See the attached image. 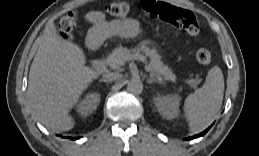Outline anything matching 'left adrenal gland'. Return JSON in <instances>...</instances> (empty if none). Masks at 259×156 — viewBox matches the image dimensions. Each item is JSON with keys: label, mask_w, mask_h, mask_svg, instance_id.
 Wrapping results in <instances>:
<instances>
[{"label": "left adrenal gland", "mask_w": 259, "mask_h": 156, "mask_svg": "<svg viewBox=\"0 0 259 156\" xmlns=\"http://www.w3.org/2000/svg\"><path fill=\"white\" fill-rule=\"evenodd\" d=\"M164 83V81L161 79V77H158L157 79L154 78L153 76H150L149 78H147V83L152 84V83Z\"/></svg>", "instance_id": "obj_1"}]
</instances>
